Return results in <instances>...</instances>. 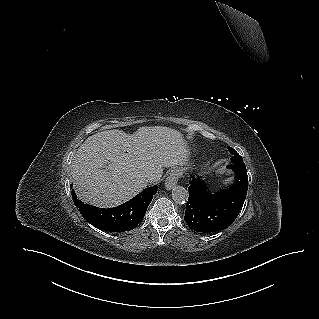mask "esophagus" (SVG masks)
Wrapping results in <instances>:
<instances>
[{"instance_id": "1", "label": "esophagus", "mask_w": 319, "mask_h": 319, "mask_svg": "<svg viewBox=\"0 0 319 319\" xmlns=\"http://www.w3.org/2000/svg\"><path fill=\"white\" fill-rule=\"evenodd\" d=\"M179 177H180L179 170L177 169L172 170L166 179L165 188L167 190H171L177 184Z\"/></svg>"}]
</instances>
